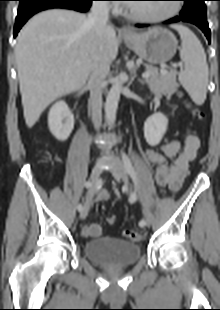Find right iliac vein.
Wrapping results in <instances>:
<instances>
[{"instance_id": "63e3f726", "label": "right iliac vein", "mask_w": 220, "mask_h": 310, "mask_svg": "<svg viewBox=\"0 0 220 310\" xmlns=\"http://www.w3.org/2000/svg\"><path fill=\"white\" fill-rule=\"evenodd\" d=\"M101 173H102V167L100 164H97L91 172V175H90L91 186L89 187L88 192H87L85 205H84L83 209L80 211V218L82 220H84L88 215L89 204H90L91 199L94 196L95 187L99 181Z\"/></svg>"}]
</instances>
